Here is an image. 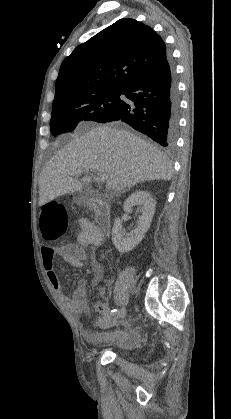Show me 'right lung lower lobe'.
I'll list each match as a JSON object with an SVG mask.
<instances>
[{
  "instance_id": "98d812e1",
  "label": "right lung lower lobe",
  "mask_w": 231,
  "mask_h": 419,
  "mask_svg": "<svg viewBox=\"0 0 231 419\" xmlns=\"http://www.w3.org/2000/svg\"><path fill=\"white\" fill-rule=\"evenodd\" d=\"M123 103L105 122L120 120L163 147L173 146L178 130L179 96L168 59L124 89Z\"/></svg>"
}]
</instances>
